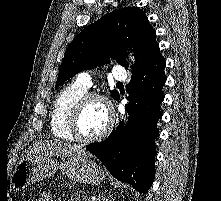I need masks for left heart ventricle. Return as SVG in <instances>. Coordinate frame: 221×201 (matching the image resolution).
<instances>
[{
	"label": "left heart ventricle",
	"instance_id": "b2bd125f",
	"mask_svg": "<svg viewBox=\"0 0 221 201\" xmlns=\"http://www.w3.org/2000/svg\"><path fill=\"white\" fill-rule=\"evenodd\" d=\"M107 123L108 115L104 104L94 100L84 108L79 120V130L84 136H94L103 131Z\"/></svg>",
	"mask_w": 221,
	"mask_h": 201
}]
</instances>
